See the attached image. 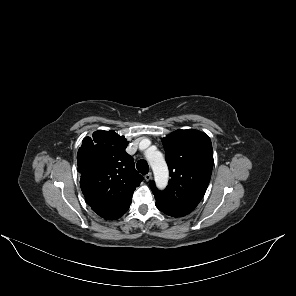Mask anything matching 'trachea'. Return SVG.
Wrapping results in <instances>:
<instances>
[{"instance_id": "obj_1", "label": "trachea", "mask_w": 296, "mask_h": 296, "mask_svg": "<svg viewBox=\"0 0 296 296\" xmlns=\"http://www.w3.org/2000/svg\"><path fill=\"white\" fill-rule=\"evenodd\" d=\"M136 167L141 174H147L149 172V166L144 160H139Z\"/></svg>"}]
</instances>
